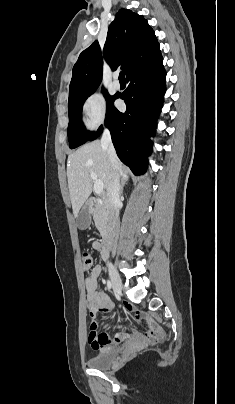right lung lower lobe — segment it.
I'll use <instances>...</instances> for the list:
<instances>
[{"label":"right lung lower lobe","mask_w":235,"mask_h":404,"mask_svg":"<svg viewBox=\"0 0 235 404\" xmlns=\"http://www.w3.org/2000/svg\"><path fill=\"white\" fill-rule=\"evenodd\" d=\"M165 76L162 56L132 71L127 75L128 88L121 96L126 112H119L114 105L107 110L105 125L111 132L117 155L135 175L144 174L147 168V155L152 149L149 137L154 135L163 105ZM102 130L101 126L89 140L99 137Z\"/></svg>","instance_id":"right-lung-lower-lobe-1"}]
</instances>
